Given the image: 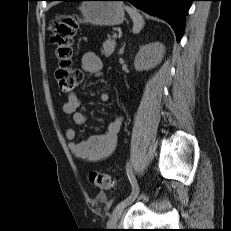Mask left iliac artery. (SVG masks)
Instances as JSON below:
<instances>
[{
  "label": "left iliac artery",
  "instance_id": "44dca946",
  "mask_svg": "<svg viewBox=\"0 0 231 231\" xmlns=\"http://www.w3.org/2000/svg\"><path fill=\"white\" fill-rule=\"evenodd\" d=\"M126 171H127V175H128V178H129L131 186H132V192L130 193V195L127 198H125L123 201H121L118 204L120 206H126L132 200H134L138 194V185H137L135 176L132 172L130 162H127V164H126Z\"/></svg>",
  "mask_w": 231,
  "mask_h": 231
}]
</instances>
